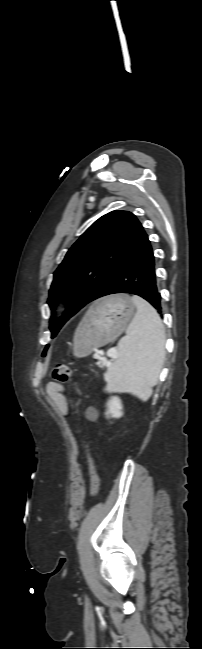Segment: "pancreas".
I'll return each mask as SVG.
<instances>
[{"mask_svg": "<svg viewBox=\"0 0 202 649\" xmlns=\"http://www.w3.org/2000/svg\"><path fill=\"white\" fill-rule=\"evenodd\" d=\"M99 362L101 363L100 368L103 369L105 367V365H106L107 360H105V361L99 360Z\"/></svg>", "mask_w": 202, "mask_h": 649, "instance_id": "1", "label": "pancreas"}]
</instances>
